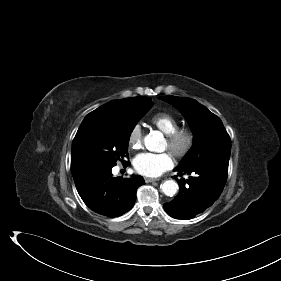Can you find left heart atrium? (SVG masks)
<instances>
[{
	"mask_svg": "<svg viewBox=\"0 0 281 281\" xmlns=\"http://www.w3.org/2000/svg\"><path fill=\"white\" fill-rule=\"evenodd\" d=\"M135 170L147 177H158L173 167V159L169 153H140L133 162Z\"/></svg>",
	"mask_w": 281,
	"mask_h": 281,
	"instance_id": "left-heart-atrium-1",
	"label": "left heart atrium"
}]
</instances>
